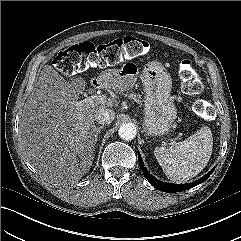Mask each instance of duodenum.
<instances>
[{
  "label": "duodenum",
  "instance_id": "obj_1",
  "mask_svg": "<svg viewBox=\"0 0 241 241\" xmlns=\"http://www.w3.org/2000/svg\"><path fill=\"white\" fill-rule=\"evenodd\" d=\"M103 86V81L99 78H94L92 81H91V87L94 89V90H98V89H101Z\"/></svg>",
  "mask_w": 241,
  "mask_h": 241
}]
</instances>
